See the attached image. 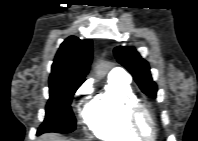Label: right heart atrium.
<instances>
[{
  "instance_id": "right-heart-atrium-1",
  "label": "right heart atrium",
  "mask_w": 198,
  "mask_h": 141,
  "mask_svg": "<svg viewBox=\"0 0 198 141\" xmlns=\"http://www.w3.org/2000/svg\"><path fill=\"white\" fill-rule=\"evenodd\" d=\"M89 90H90V84L85 83L77 90V95L80 96L86 95L89 92Z\"/></svg>"
}]
</instances>
